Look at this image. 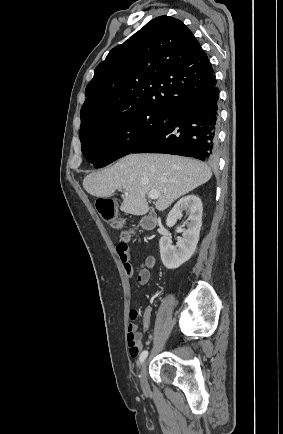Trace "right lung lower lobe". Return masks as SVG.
I'll list each match as a JSON object with an SVG mask.
<instances>
[{"label":"right lung lower lobe","mask_w":283,"mask_h":434,"mask_svg":"<svg viewBox=\"0 0 283 434\" xmlns=\"http://www.w3.org/2000/svg\"><path fill=\"white\" fill-rule=\"evenodd\" d=\"M214 86L167 112L166 121L131 153H168L214 162L219 120Z\"/></svg>","instance_id":"98d812e1"}]
</instances>
